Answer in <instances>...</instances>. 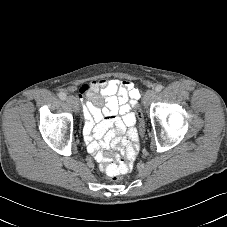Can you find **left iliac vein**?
Here are the masks:
<instances>
[{
    "mask_svg": "<svg viewBox=\"0 0 227 227\" xmlns=\"http://www.w3.org/2000/svg\"><path fill=\"white\" fill-rule=\"evenodd\" d=\"M156 92L154 90H149L146 92L143 98V103L145 106H148L150 102L154 99Z\"/></svg>",
    "mask_w": 227,
    "mask_h": 227,
    "instance_id": "4c4485c4",
    "label": "left iliac vein"
}]
</instances>
